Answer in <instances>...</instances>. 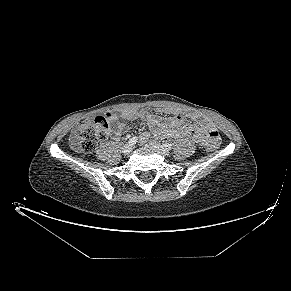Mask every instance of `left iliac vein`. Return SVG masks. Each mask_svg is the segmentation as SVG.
<instances>
[{
    "label": "left iliac vein",
    "instance_id": "4c4485c4",
    "mask_svg": "<svg viewBox=\"0 0 291 291\" xmlns=\"http://www.w3.org/2000/svg\"><path fill=\"white\" fill-rule=\"evenodd\" d=\"M150 145L154 148V149H156L157 151H159L161 154H163V155H169V150L168 149H166L165 147H163L162 145H160L158 142H156V141H151L150 142Z\"/></svg>",
    "mask_w": 291,
    "mask_h": 291
}]
</instances>
